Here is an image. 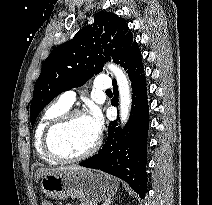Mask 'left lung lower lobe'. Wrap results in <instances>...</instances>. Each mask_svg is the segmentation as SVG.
<instances>
[{
	"mask_svg": "<svg viewBox=\"0 0 212 205\" xmlns=\"http://www.w3.org/2000/svg\"><path fill=\"white\" fill-rule=\"evenodd\" d=\"M122 67L127 70L133 94L128 123L123 130H120V127H117V121L110 122L108 138L102 150L79 165L98 169L123 179L141 198H144L149 107L146 77L136 41L132 43L131 52L127 55ZM113 91L117 100L118 90L115 79Z\"/></svg>",
	"mask_w": 212,
	"mask_h": 205,
	"instance_id": "1",
	"label": "left lung lower lobe"
}]
</instances>
